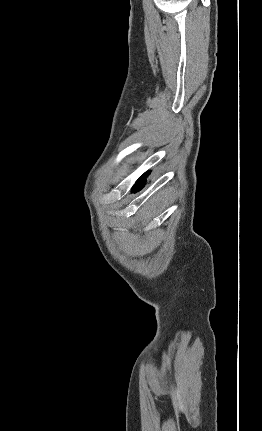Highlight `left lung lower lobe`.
I'll return each mask as SVG.
<instances>
[{
    "mask_svg": "<svg viewBox=\"0 0 262 431\" xmlns=\"http://www.w3.org/2000/svg\"><path fill=\"white\" fill-rule=\"evenodd\" d=\"M149 172L145 173L144 175H142L137 181L136 184L133 186L132 191L136 192L138 190H140L142 187H144L145 183H146V178L148 177Z\"/></svg>",
    "mask_w": 262,
    "mask_h": 431,
    "instance_id": "obj_1",
    "label": "left lung lower lobe"
}]
</instances>
